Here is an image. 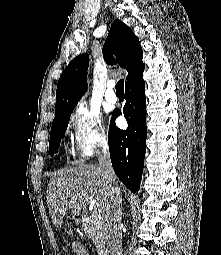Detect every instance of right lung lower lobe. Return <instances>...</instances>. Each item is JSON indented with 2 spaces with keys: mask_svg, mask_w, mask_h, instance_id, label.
<instances>
[{
  "mask_svg": "<svg viewBox=\"0 0 221 255\" xmlns=\"http://www.w3.org/2000/svg\"><path fill=\"white\" fill-rule=\"evenodd\" d=\"M144 68L145 66L125 85L126 103L123 114L128 128L119 129L115 125V118L120 113L113 114L108 135L113 169L122 183L133 192L139 190L146 152V96L142 78Z\"/></svg>",
  "mask_w": 221,
  "mask_h": 255,
  "instance_id": "1",
  "label": "right lung lower lobe"
}]
</instances>
